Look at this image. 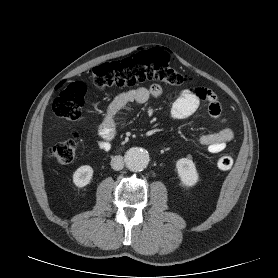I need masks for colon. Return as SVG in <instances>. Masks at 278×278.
Returning a JSON list of instances; mask_svg holds the SVG:
<instances>
[{"instance_id":"colon-1","label":"colon","mask_w":278,"mask_h":278,"mask_svg":"<svg viewBox=\"0 0 278 278\" xmlns=\"http://www.w3.org/2000/svg\"><path fill=\"white\" fill-rule=\"evenodd\" d=\"M93 84L99 90L108 87H134L147 81H159L179 86L185 82L184 76L170 65V56L162 48L140 51L119 61L103 63L92 70ZM87 86L82 82L71 83L57 96L53 103L56 116L71 122L81 118ZM77 141L69 139L58 143L48 150L51 158L58 163L68 164L77 152ZM233 165L230 155H222L217 160L221 170Z\"/></svg>"}]
</instances>
